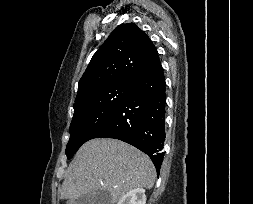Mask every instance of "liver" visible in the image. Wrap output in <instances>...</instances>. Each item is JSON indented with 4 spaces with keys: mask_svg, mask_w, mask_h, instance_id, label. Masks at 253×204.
<instances>
[{
    "mask_svg": "<svg viewBox=\"0 0 253 204\" xmlns=\"http://www.w3.org/2000/svg\"><path fill=\"white\" fill-rule=\"evenodd\" d=\"M156 178L150 158L135 147L116 139H92L75 154L62 183L66 204L96 191H107L116 203L128 191L151 189Z\"/></svg>",
    "mask_w": 253,
    "mask_h": 204,
    "instance_id": "1",
    "label": "liver"
}]
</instances>
